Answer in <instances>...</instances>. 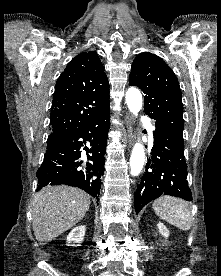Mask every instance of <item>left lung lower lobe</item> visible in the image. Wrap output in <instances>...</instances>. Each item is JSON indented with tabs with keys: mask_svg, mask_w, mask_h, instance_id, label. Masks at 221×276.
<instances>
[{
	"mask_svg": "<svg viewBox=\"0 0 221 276\" xmlns=\"http://www.w3.org/2000/svg\"><path fill=\"white\" fill-rule=\"evenodd\" d=\"M154 146L148 159L146 172L134 195L135 210L140 209L161 195L192 200L187 182V164L184 141L178 135L160 130L153 132Z\"/></svg>",
	"mask_w": 221,
	"mask_h": 276,
	"instance_id": "0a47b994",
	"label": "left lung lower lobe"
}]
</instances>
